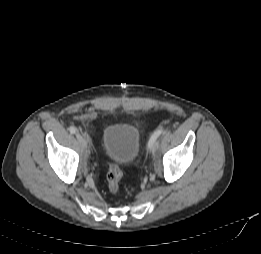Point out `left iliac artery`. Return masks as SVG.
Returning a JSON list of instances; mask_svg holds the SVG:
<instances>
[{"label":"left iliac artery","mask_w":261,"mask_h":254,"mask_svg":"<svg viewBox=\"0 0 261 254\" xmlns=\"http://www.w3.org/2000/svg\"><path fill=\"white\" fill-rule=\"evenodd\" d=\"M165 132H166V130L163 128H159V129L155 130L149 139L148 148L150 149L153 146L154 142L157 140V138L160 135L164 134Z\"/></svg>","instance_id":"left-iliac-artery-1"}]
</instances>
